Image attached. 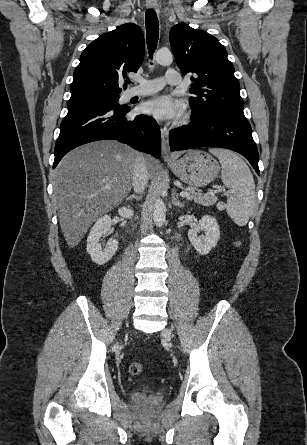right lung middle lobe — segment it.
Returning <instances> with one entry per match:
<instances>
[{"mask_svg":"<svg viewBox=\"0 0 307 445\" xmlns=\"http://www.w3.org/2000/svg\"><path fill=\"white\" fill-rule=\"evenodd\" d=\"M119 97H120L119 95H114V96H95L82 99H74V100H69L67 106L72 107L75 105L86 104V103H97V102H113L118 104Z\"/></svg>","mask_w":307,"mask_h":445,"instance_id":"obj_1","label":"right lung middle lobe"}]
</instances>
